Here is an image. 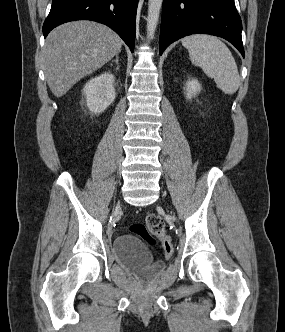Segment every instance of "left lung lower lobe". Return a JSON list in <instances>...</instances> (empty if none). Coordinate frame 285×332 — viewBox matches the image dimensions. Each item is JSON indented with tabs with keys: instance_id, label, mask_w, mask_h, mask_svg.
<instances>
[{
	"instance_id": "0a47b994",
	"label": "left lung lower lobe",
	"mask_w": 285,
	"mask_h": 332,
	"mask_svg": "<svg viewBox=\"0 0 285 332\" xmlns=\"http://www.w3.org/2000/svg\"><path fill=\"white\" fill-rule=\"evenodd\" d=\"M242 22L234 0H163L160 55L190 34H211L232 43L244 57Z\"/></svg>"
}]
</instances>
